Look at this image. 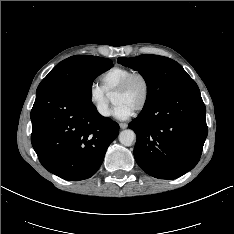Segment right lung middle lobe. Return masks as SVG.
Here are the masks:
<instances>
[{
	"instance_id": "1",
	"label": "right lung middle lobe",
	"mask_w": 234,
	"mask_h": 234,
	"mask_svg": "<svg viewBox=\"0 0 234 234\" xmlns=\"http://www.w3.org/2000/svg\"><path fill=\"white\" fill-rule=\"evenodd\" d=\"M113 66L110 59L75 55L61 61L41 81L36 93L67 90L90 103L93 80Z\"/></svg>"
}]
</instances>
